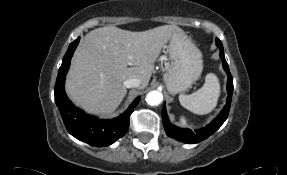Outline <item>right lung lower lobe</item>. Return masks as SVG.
I'll return each instance as SVG.
<instances>
[{"instance_id":"right-lung-lower-lobe-1","label":"right lung lower lobe","mask_w":287,"mask_h":175,"mask_svg":"<svg viewBox=\"0 0 287 175\" xmlns=\"http://www.w3.org/2000/svg\"><path fill=\"white\" fill-rule=\"evenodd\" d=\"M79 40L80 38H77L70 44L59 68L54 89L55 102L65 127L72 136L92 146H108L127 132L130 115L138 104L140 97H137L121 116L110 120L98 119L76 108L65 93L64 81L70 66L71 57Z\"/></svg>"}]
</instances>
